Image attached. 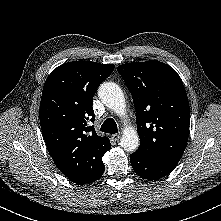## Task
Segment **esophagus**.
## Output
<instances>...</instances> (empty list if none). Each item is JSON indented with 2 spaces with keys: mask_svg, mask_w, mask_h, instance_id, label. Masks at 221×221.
Instances as JSON below:
<instances>
[{
  "mask_svg": "<svg viewBox=\"0 0 221 221\" xmlns=\"http://www.w3.org/2000/svg\"><path fill=\"white\" fill-rule=\"evenodd\" d=\"M121 135L118 133V134H114L112 135V138L115 140V141H118L120 139Z\"/></svg>",
  "mask_w": 221,
  "mask_h": 221,
  "instance_id": "obj_1",
  "label": "esophagus"
}]
</instances>
